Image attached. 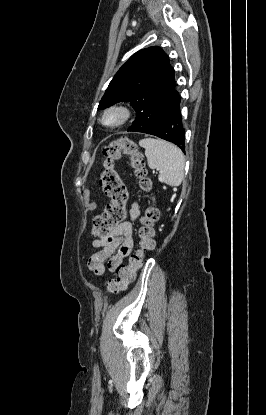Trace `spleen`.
<instances>
[{"mask_svg":"<svg viewBox=\"0 0 266 415\" xmlns=\"http://www.w3.org/2000/svg\"><path fill=\"white\" fill-rule=\"evenodd\" d=\"M145 149L148 165L159 170L158 179L169 186H179L184 178L185 159L182 151L172 143L145 138L139 141Z\"/></svg>","mask_w":266,"mask_h":415,"instance_id":"obj_1","label":"spleen"}]
</instances>
